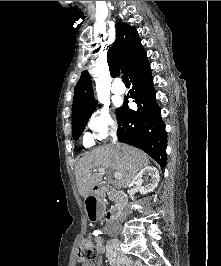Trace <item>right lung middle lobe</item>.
Masks as SVG:
<instances>
[{
	"mask_svg": "<svg viewBox=\"0 0 221 266\" xmlns=\"http://www.w3.org/2000/svg\"><path fill=\"white\" fill-rule=\"evenodd\" d=\"M94 109L95 107L89 112L72 117V133L75 140L82 134Z\"/></svg>",
	"mask_w": 221,
	"mask_h": 266,
	"instance_id": "obj_1",
	"label": "right lung middle lobe"
}]
</instances>
